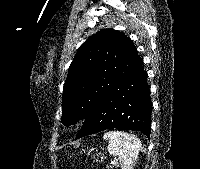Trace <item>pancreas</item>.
<instances>
[{"instance_id":"1","label":"pancreas","mask_w":200,"mask_h":169,"mask_svg":"<svg viewBox=\"0 0 200 169\" xmlns=\"http://www.w3.org/2000/svg\"><path fill=\"white\" fill-rule=\"evenodd\" d=\"M114 166H116V162H111L110 168H113ZM109 167V166H108Z\"/></svg>"}]
</instances>
